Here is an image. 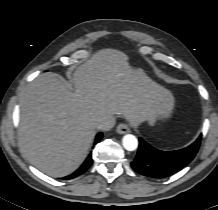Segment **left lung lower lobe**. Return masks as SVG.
<instances>
[{
  "instance_id": "1",
  "label": "left lung lower lobe",
  "mask_w": 218,
  "mask_h": 210,
  "mask_svg": "<svg viewBox=\"0 0 218 210\" xmlns=\"http://www.w3.org/2000/svg\"><path fill=\"white\" fill-rule=\"evenodd\" d=\"M201 136L190 146L176 151H161L139 138L138 153L131 163L139 174L165 178L188 165L198 152Z\"/></svg>"
}]
</instances>
